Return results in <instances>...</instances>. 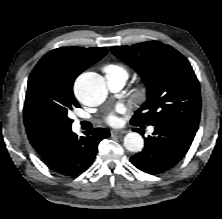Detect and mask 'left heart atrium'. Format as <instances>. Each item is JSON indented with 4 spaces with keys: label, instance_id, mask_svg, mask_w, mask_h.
I'll list each match as a JSON object with an SVG mask.
<instances>
[{
    "label": "left heart atrium",
    "instance_id": "obj_1",
    "mask_svg": "<svg viewBox=\"0 0 222 219\" xmlns=\"http://www.w3.org/2000/svg\"><path fill=\"white\" fill-rule=\"evenodd\" d=\"M118 112H121V110L118 111ZM106 121L111 126H117L119 124V119H118V116H117V114L115 112L111 113L107 117Z\"/></svg>",
    "mask_w": 222,
    "mask_h": 219
}]
</instances>
